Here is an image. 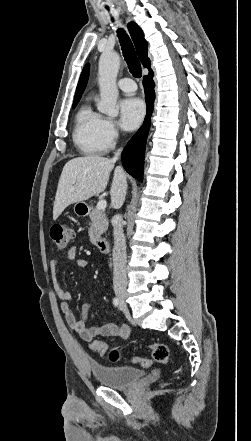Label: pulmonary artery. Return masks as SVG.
<instances>
[{
    "mask_svg": "<svg viewBox=\"0 0 251 441\" xmlns=\"http://www.w3.org/2000/svg\"><path fill=\"white\" fill-rule=\"evenodd\" d=\"M119 88L127 93H133L136 91V84L130 78H122L118 81Z\"/></svg>",
    "mask_w": 251,
    "mask_h": 441,
    "instance_id": "obj_1",
    "label": "pulmonary artery"
}]
</instances>
